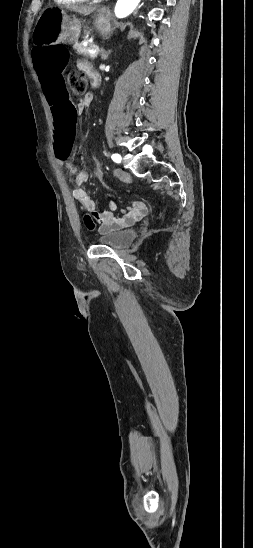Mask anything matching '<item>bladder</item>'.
<instances>
[{
	"mask_svg": "<svg viewBox=\"0 0 253 548\" xmlns=\"http://www.w3.org/2000/svg\"><path fill=\"white\" fill-rule=\"evenodd\" d=\"M137 236L135 229L108 231L102 233L97 242L114 249H123L129 246Z\"/></svg>",
	"mask_w": 253,
	"mask_h": 548,
	"instance_id": "bladder-1",
	"label": "bladder"
}]
</instances>
